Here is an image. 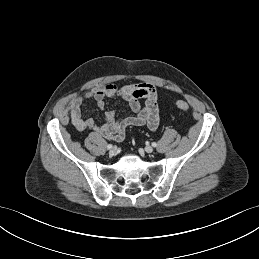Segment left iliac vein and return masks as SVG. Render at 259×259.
<instances>
[{
	"label": "left iliac vein",
	"mask_w": 259,
	"mask_h": 259,
	"mask_svg": "<svg viewBox=\"0 0 259 259\" xmlns=\"http://www.w3.org/2000/svg\"><path fill=\"white\" fill-rule=\"evenodd\" d=\"M145 152H146V153H152V152H153V147H152V146H149V145L146 146V147H145Z\"/></svg>",
	"instance_id": "1"
}]
</instances>
